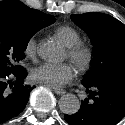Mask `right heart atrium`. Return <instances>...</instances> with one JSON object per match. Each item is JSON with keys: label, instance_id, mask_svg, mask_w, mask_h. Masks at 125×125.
<instances>
[{"label": "right heart atrium", "instance_id": "d8ad5b80", "mask_svg": "<svg viewBox=\"0 0 125 125\" xmlns=\"http://www.w3.org/2000/svg\"><path fill=\"white\" fill-rule=\"evenodd\" d=\"M37 52V38L35 36L30 37L24 46V53L27 57H35Z\"/></svg>", "mask_w": 125, "mask_h": 125}]
</instances>
